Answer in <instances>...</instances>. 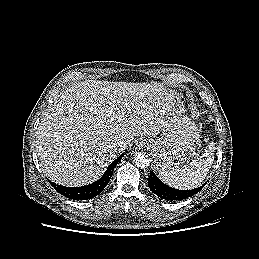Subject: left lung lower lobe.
I'll use <instances>...</instances> for the list:
<instances>
[{
  "mask_svg": "<svg viewBox=\"0 0 259 259\" xmlns=\"http://www.w3.org/2000/svg\"><path fill=\"white\" fill-rule=\"evenodd\" d=\"M205 184L192 190H178L162 183L152 170L150 171L148 178V185L151 191L167 201L182 200L191 197L198 193L205 186Z\"/></svg>",
  "mask_w": 259,
  "mask_h": 259,
  "instance_id": "obj_1",
  "label": "left lung lower lobe"
}]
</instances>
